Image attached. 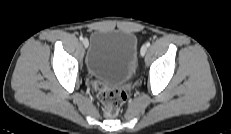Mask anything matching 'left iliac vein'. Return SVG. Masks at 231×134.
<instances>
[{"label": "left iliac vein", "mask_w": 231, "mask_h": 134, "mask_svg": "<svg viewBox=\"0 0 231 134\" xmlns=\"http://www.w3.org/2000/svg\"><path fill=\"white\" fill-rule=\"evenodd\" d=\"M146 52H147V46H146V45H143V46L141 47V50H140V55H141V56H144V55L146 54Z\"/></svg>", "instance_id": "4c4485c4"}]
</instances>
